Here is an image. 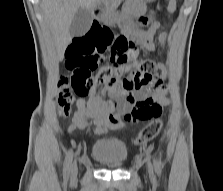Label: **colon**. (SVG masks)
Instances as JSON below:
<instances>
[{"instance_id":"1","label":"colon","mask_w":223,"mask_h":191,"mask_svg":"<svg viewBox=\"0 0 223 191\" xmlns=\"http://www.w3.org/2000/svg\"><path fill=\"white\" fill-rule=\"evenodd\" d=\"M161 41L165 35L161 36ZM109 52L111 65L93 72L104 62L105 53ZM66 66L72 70L70 77H63L59 82L58 112L61 117L70 114L74 95L86 97L98 84L123 82L126 75H131V81L125 83L128 89H134L152 82L153 79L166 78L164 68L167 62L159 64L139 56L135 42L128 36L114 35L110 28H91L85 34L75 37L66 50ZM123 79L122 81H120ZM160 108L152 109L157 115ZM161 121L154 118L143 127L135 138L138 146L147 145L159 132Z\"/></svg>"}]
</instances>
